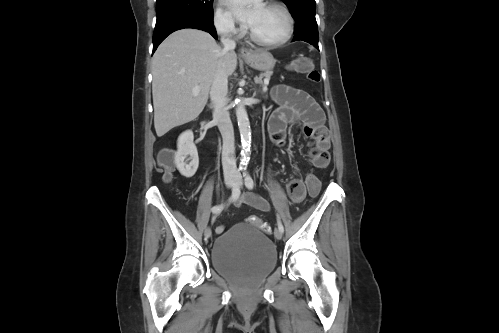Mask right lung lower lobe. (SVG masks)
Listing matches in <instances>:
<instances>
[{"label": "right lung lower lobe", "mask_w": 499, "mask_h": 333, "mask_svg": "<svg viewBox=\"0 0 499 333\" xmlns=\"http://www.w3.org/2000/svg\"><path fill=\"white\" fill-rule=\"evenodd\" d=\"M184 28L200 29L209 32L215 39H217L213 19L209 20L190 16L171 17L156 23L153 34V52L169 34Z\"/></svg>", "instance_id": "right-lung-lower-lobe-1"}]
</instances>
